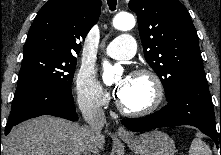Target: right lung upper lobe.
Instances as JSON below:
<instances>
[{
	"instance_id": "right-lung-upper-lobe-1",
	"label": "right lung upper lobe",
	"mask_w": 221,
	"mask_h": 155,
	"mask_svg": "<svg viewBox=\"0 0 221 155\" xmlns=\"http://www.w3.org/2000/svg\"><path fill=\"white\" fill-rule=\"evenodd\" d=\"M100 0H49L38 12L23 47L24 56L49 54L76 59L100 15Z\"/></svg>"
}]
</instances>
